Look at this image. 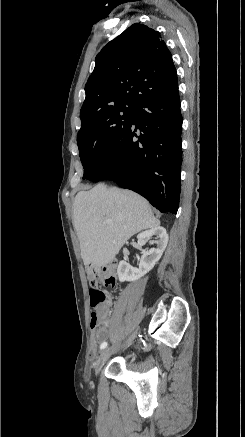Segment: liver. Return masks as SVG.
<instances>
[{"label":"liver","mask_w":245,"mask_h":437,"mask_svg":"<svg viewBox=\"0 0 245 437\" xmlns=\"http://www.w3.org/2000/svg\"><path fill=\"white\" fill-rule=\"evenodd\" d=\"M110 223H106V220ZM76 230L84 265H107L134 234L158 227L149 203L138 194L98 184L80 191L73 204Z\"/></svg>","instance_id":"liver-1"}]
</instances>
